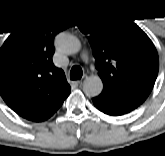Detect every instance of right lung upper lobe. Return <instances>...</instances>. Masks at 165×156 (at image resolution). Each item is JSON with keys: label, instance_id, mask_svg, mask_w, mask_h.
<instances>
[{"label": "right lung upper lobe", "instance_id": "obj_1", "mask_svg": "<svg viewBox=\"0 0 165 156\" xmlns=\"http://www.w3.org/2000/svg\"><path fill=\"white\" fill-rule=\"evenodd\" d=\"M69 24L46 20L11 34L0 49V95L21 117L50 118L70 94L62 69L54 66V37Z\"/></svg>", "mask_w": 165, "mask_h": 156}]
</instances>
